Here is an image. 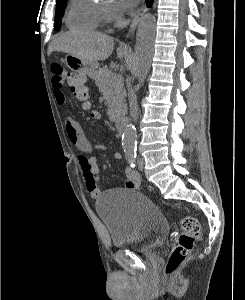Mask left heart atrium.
Segmentation results:
<instances>
[{
    "label": "left heart atrium",
    "mask_w": 245,
    "mask_h": 300,
    "mask_svg": "<svg viewBox=\"0 0 245 300\" xmlns=\"http://www.w3.org/2000/svg\"><path fill=\"white\" fill-rule=\"evenodd\" d=\"M120 2L122 5V10L124 12H128L136 6L139 0H120Z\"/></svg>",
    "instance_id": "left-heart-atrium-1"
}]
</instances>
